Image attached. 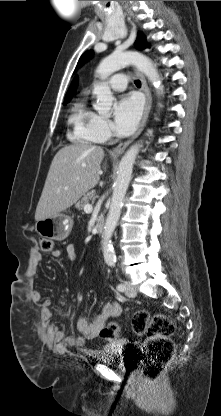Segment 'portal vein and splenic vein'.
<instances>
[{
    "label": "portal vein and splenic vein",
    "mask_w": 221,
    "mask_h": 416,
    "mask_svg": "<svg viewBox=\"0 0 221 416\" xmlns=\"http://www.w3.org/2000/svg\"><path fill=\"white\" fill-rule=\"evenodd\" d=\"M92 210H93V207H92V205H91V204H86V205L84 206V211H85L86 213H90V212H92Z\"/></svg>",
    "instance_id": "obj_1"
}]
</instances>
